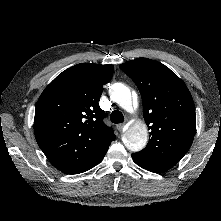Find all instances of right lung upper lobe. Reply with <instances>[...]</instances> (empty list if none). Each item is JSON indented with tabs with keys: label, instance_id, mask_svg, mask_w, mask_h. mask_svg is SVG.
I'll use <instances>...</instances> for the list:
<instances>
[{
	"label": "right lung upper lobe",
	"instance_id": "obj_1",
	"mask_svg": "<svg viewBox=\"0 0 221 221\" xmlns=\"http://www.w3.org/2000/svg\"><path fill=\"white\" fill-rule=\"evenodd\" d=\"M113 71V65L77 64L59 74L41 94L34 118L36 141L61 172L91 169L115 140L98 103Z\"/></svg>",
	"mask_w": 221,
	"mask_h": 221
}]
</instances>
